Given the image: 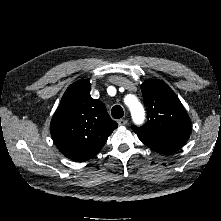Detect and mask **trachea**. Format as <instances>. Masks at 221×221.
Masks as SVG:
<instances>
[{"mask_svg":"<svg viewBox=\"0 0 221 221\" xmlns=\"http://www.w3.org/2000/svg\"><path fill=\"white\" fill-rule=\"evenodd\" d=\"M111 114L114 119H120L123 117L124 112L120 105H115L111 110Z\"/></svg>","mask_w":221,"mask_h":221,"instance_id":"trachea-1","label":"trachea"}]
</instances>
